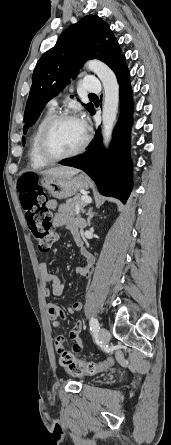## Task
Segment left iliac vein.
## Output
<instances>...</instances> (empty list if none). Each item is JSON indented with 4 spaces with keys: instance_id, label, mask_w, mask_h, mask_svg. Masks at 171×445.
Wrapping results in <instances>:
<instances>
[{
    "instance_id": "obj_1",
    "label": "left iliac vein",
    "mask_w": 171,
    "mask_h": 445,
    "mask_svg": "<svg viewBox=\"0 0 171 445\" xmlns=\"http://www.w3.org/2000/svg\"><path fill=\"white\" fill-rule=\"evenodd\" d=\"M98 335L102 344H107L109 342L110 334L106 328L101 327L99 329Z\"/></svg>"
}]
</instances>
